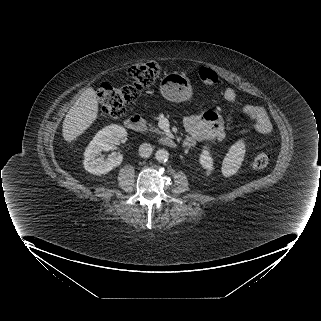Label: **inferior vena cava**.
Segmentation results:
<instances>
[{"label": "inferior vena cava", "mask_w": 321, "mask_h": 321, "mask_svg": "<svg viewBox=\"0 0 321 321\" xmlns=\"http://www.w3.org/2000/svg\"><path fill=\"white\" fill-rule=\"evenodd\" d=\"M152 152H153V148L149 143H143L139 147V155L141 157L147 158L152 154Z\"/></svg>", "instance_id": "602c4592"}]
</instances>
